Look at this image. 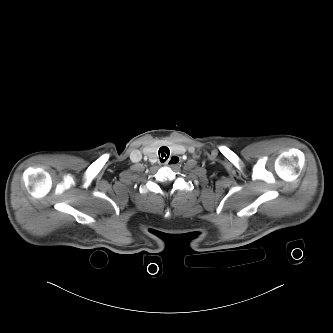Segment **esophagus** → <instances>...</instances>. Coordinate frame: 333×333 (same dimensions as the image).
Returning a JSON list of instances; mask_svg holds the SVG:
<instances>
[{
	"mask_svg": "<svg viewBox=\"0 0 333 333\" xmlns=\"http://www.w3.org/2000/svg\"><path fill=\"white\" fill-rule=\"evenodd\" d=\"M181 161L177 155H172L164 164L167 166L178 165L177 162Z\"/></svg>",
	"mask_w": 333,
	"mask_h": 333,
	"instance_id": "34e87169",
	"label": "esophagus"
}]
</instances>
